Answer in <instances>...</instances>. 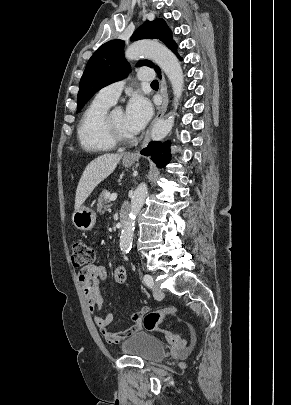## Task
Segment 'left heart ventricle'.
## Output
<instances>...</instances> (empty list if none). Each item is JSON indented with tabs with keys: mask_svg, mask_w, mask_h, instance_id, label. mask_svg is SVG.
<instances>
[{
	"mask_svg": "<svg viewBox=\"0 0 291 405\" xmlns=\"http://www.w3.org/2000/svg\"><path fill=\"white\" fill-rule=\"evenodd\" d=\"M111 120L115 128L124 136L131 137L133 134L127 129L125 122V113L123 111H115L112 113Z\"/></svg>",
	"mask_w": 291,
	"mask_h": 405,
	"instance_id": "left-heart-ventricle-1",
	"label": "left heart ventricle"
}]
</instances>
